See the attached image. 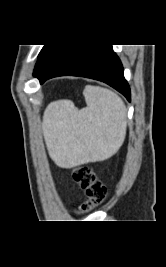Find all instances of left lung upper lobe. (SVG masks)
Instances as JSON below:
<instances>
[{"mask_svg":"<svg viewBox=\"0 0 166 267\" xmlns=\"http://www.w3.org/2000/svg\"><path fill=\"white\" fill-rule=\"evenodd\" d=\"M56 45L51 44V45H44V47L42 48V50L39 53L38 56V61L36 63L35 69H34V74L36 73V71L38 70L39 66L41 65L43 59L46 57V55L55 47Z\"/></svg>","mask_w":166,"mask_h":267,"instance_id":"left-lung-upper-lobe-1","label":"left lung upper lobe"}]
</instances>
